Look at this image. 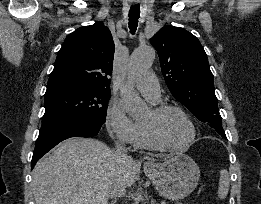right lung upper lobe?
Segmentation results:
<instances>
[{
	"label": "right lung upper lobe",
	"mask_w": 261,
	"mask_h": 204,
	"mask_svg": "<svg viewBox=\"0 0 261 204\" xmlns=\"http://www.w3.org/2000/svg\"><path fill=\"white\" fill-rule=\"evenodd\" d=\"M115 46L101 22L72 32L58 52L45 94L63 90H109Z\"/></svg>",
	"instance_id": "1"
}]
</instances>
